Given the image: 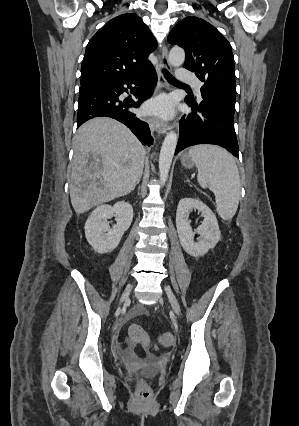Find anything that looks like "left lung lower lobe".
<instances>
[{"label":"left lung lower lobe","mask_w":299,"mask_h":426,"mask_svg":"<svg viewBox=\"0 0 299 426\" xmlns=\"http://www.w3.org/2000/svg\"><path fill=\"white\" fill-rule=\"evenodd\" d=\"M192 113L180 121V137L175 154L197 144H216L234 156L238 155V142L234 130L235 107L215 98L202 95V102L186 97Z\"/></svg>","instance_id":"0a47b994"}]
</instances>
